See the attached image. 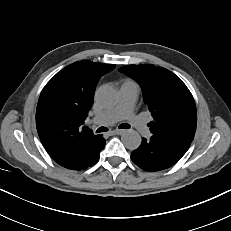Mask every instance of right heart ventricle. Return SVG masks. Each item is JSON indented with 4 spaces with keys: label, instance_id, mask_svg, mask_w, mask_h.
I'll return each mask as SVG.
<instances>
[{
    "label": "right heart ventricle",
    "instance_id": "e07e8e85",
    "mask_svg": "<svg viewBox=\"0 0 231 231\" xmlns=\"http://www.w3.org/2000/svg\"><path fill=\"white\" fill-rule=\"evenodd\" d=\"M122 85H136L132 80H126Z\"/></svg>",
    "mask_w": 231,
    "mask_h": 231
}]
</instances>
